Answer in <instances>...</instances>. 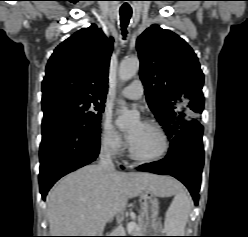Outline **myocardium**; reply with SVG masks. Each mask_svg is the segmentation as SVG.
I'll return each instance as SVG.
<instances>
[{"instance_id": "f54148a6", "label": "myocardium", "mask_w": 248, "mask_h": 237, "mask_svg": "<svg viewBox=\"0 0 248 237\" xmlns=\"http://www.w3.org/2000/svg\"><path fill=\"white\" fill-rule=\"evenodd\" d=\"M144 124L153 128L160 135V137L162 139V144H163L162 149L158 154H156L154 156H142V155L138 154L130 144L129 145L130 156L133 159L140 161V162H143V163H151V162L159 161L162 158H164L167 155V153L169 152V149H170L169 138H168L165 130L162 128V126L159 123L152 121V120H145Z\"/></svg>"}]
</instances>
